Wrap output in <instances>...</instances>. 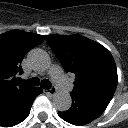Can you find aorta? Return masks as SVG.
<instances>
[{
    "label": "aorta",
    "instance_id": "1",
    "mask_svg": "<svg viewBox=\"0 0 128 128\" xmlns=\"http://www.w3.org/2000/svg\"><path fill=\"white\" fill-rule=\"evenodd\" d=\"M28 59L38 69H45L49 65V57L42 49L31 50ZM53 105L58 111L65 112L70 109L72 98L68 92H57L53 97Z\"/></svg>",
    "mask_w": 128,
    "mask_h": 128
}]
</instances>
